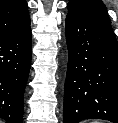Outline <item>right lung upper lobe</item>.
<instances>
[{
	"mask_svg": "<svg viewBox=\"0 0 118 123\" xmlns=\"http://www.w3.org/2000/svg\"><path fill=\"white\" fill-rule=\"evenodd\" d=\"M29 25L25 0H0V38L23 31Z\"/></svg>",
	"mask_w": 118,
	"mask_h": 123,
	"instance_id": "obj_1",
	"label": "right lung upper lobe"
}]
</instances>
